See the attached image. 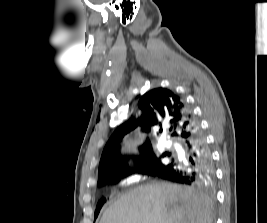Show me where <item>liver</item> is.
<instances>
[{
    "label": "liver",
    "mask_w": 267,
    "mask_h": 223,
    "mask_svg": "<svg viewBox=\"0 0 267 223\" xmlns=\"http://www.w3.org/2000/svg\"><path fill=\"white\" fill-rule=\"evenodd\" d=\"M212 210L213 201L192 187L156 183L121 196L100 223H212Z\"/></svg>",
    "instance_id": "liver-1"
}]
</instances>
